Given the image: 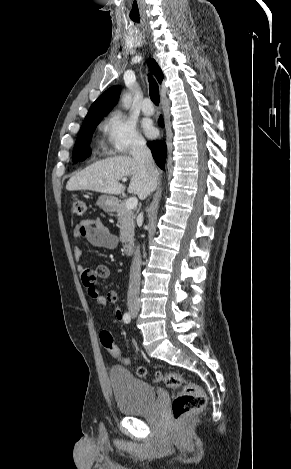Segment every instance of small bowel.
<instances>
[{"label": "small bowel", "mask_w": 291, "mask_h": 469, "mask_svg": "<svg viewBox=\"0 0 291 469\" xmlns=\"http://www.w3.org/2000/svg\"><path fill=\"white\" fill-rule=\"evenodd\" d=\"M73 238L76 241L73 247L74 258L77 261V269L81 272L83 285L87 288L90 297L101 296L107 304H116L118 301V294L115 290H110L106 295H102L98 290L96 283L98 279H107L110 276L108 266L100 264L94 268H85L80 262L82 250L78 242L86 239L92 246L105 249H114L117 246V237L110 232L100 220L86 219L79 222L73 231ZM115 317L117 320H123L121 311L117 308L115 310Z\"/></svg>", "instance_id": "c3829d8e"}]
</instances>
